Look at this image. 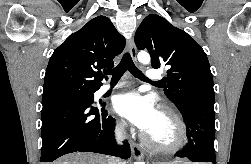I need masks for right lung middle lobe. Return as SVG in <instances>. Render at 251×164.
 Listing matches in <instances>:
<instances>
[{
  "label": "right lung middle lobe",
  "instance_id": "obj_1",
  "mask_svg": "<svg viewBox=\"0 0 251 164\" xmlns=\"http://www.w3.org/2000/svg\"><path fill=\"white\" fill-rule=\"evenodd\" d=\"M97 90L81 89L73 87L56 88L46 92H43L42 104H47L57 101H69V102H92L93 93Z\"/></svg>",
  "mask_w": 251,
  "mask_h": 164
}]
</instances>
